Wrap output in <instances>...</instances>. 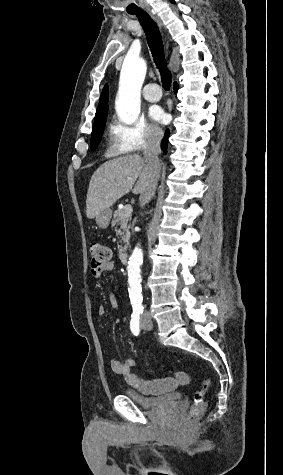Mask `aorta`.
Wrapping results in <instances>:
<instances>
[{"mask_svg":"<svg viewBox=\"0 0 283 475\" xmlns=\"http://www.w3.org/2000/svg\"><path fill=\"white\" fill-rule=\"evenodd\" d=\"M146 63L142 58H126L120 73L119 89L116 99V112L119 119L126 123H134L140 114V92L146 75ZM137 231L146 237L151 232V226L145 225ZM143 250L136 246L129 258L127 273L129 297L133 307L142 305L141 266Z\"/></svg>","mask_w":283,"mask_h":475,"instance_id":"aorta-1","label":"aorta"}]
</instances>
